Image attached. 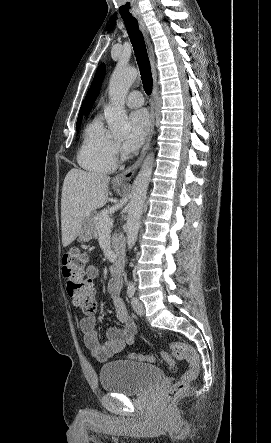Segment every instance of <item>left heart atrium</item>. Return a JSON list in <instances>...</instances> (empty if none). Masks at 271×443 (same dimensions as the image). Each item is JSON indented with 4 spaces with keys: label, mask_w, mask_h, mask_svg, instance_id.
<instances>
[{
    "label": "left heart atrium",
    "mask_w": 271,
    "mask_h": 443,
    "mask_svg": "<svg viewBox=\"0 0 271 443\" xmlns=\"http://www.w3.org/2000/svg\"><path fill=\"white\" fill-rule=\"evenodd\" d=\"M129 122L131 131L124 140V148L127 152H135L143 145L149 133V115L145 109L134 110L129 115Z\"/></svg>",
    "instance_id": "left-heart-atrium-1"
}]
</instances>
